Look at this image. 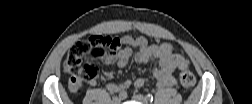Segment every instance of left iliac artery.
I'll return each mask as SVG.
<instances>
[{"mask_svg":"<svg viewBox=\"0 0 252 104\" xmlns=\"http://www.w3.org/2000/svg\"><path fill=\"white\" fill-rule=\"evenodd\" d=\"M145 98H146L147 102H152L153 101V96L151 94H147Z\"/></svg>","mask_w":252,"mask_h":104,"instance_id":"obj_1","label":"left iliac artery"}]
</instances>
